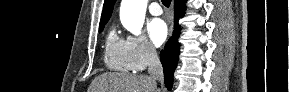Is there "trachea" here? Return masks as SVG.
Segmentation results:
<instances>
[{"instance_id": "trachea-1", "label": "trachea", "mask_w": 289, "mask_h": 92, "mask_svg": "<svg viewBox=\"0 0 289 92\" xmlns=\"http://www.w3.org/2000/svg\"><path fill=\"white\" fill-rule=\"evenodd\" d=\"M163 5L166 6V7H169L170 4H171V0H161Z\"/></svg>"}]
</instances>
